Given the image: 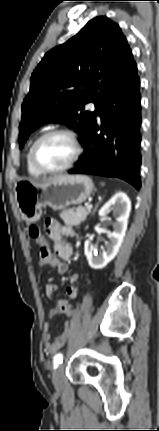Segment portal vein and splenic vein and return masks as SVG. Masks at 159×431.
Instances as JSON below:
<instances>
[{
	"mask_svg": "<svg viewBox=\"0 0 159 431\" xmlns=\"http://www.w3.org/2000/svg\"><path fill=\"white\" fill-rule=\"evenodd\" d=\"M91 208H92L91 204L87 205V207H86V209H88V210H90Z\"/></svg>",
	"mask_w": 159,
	"mask_h": 431,
	"instance_id": "18ae733b",
	"label": "portal vein and splenic vein"
}]
</instances>
